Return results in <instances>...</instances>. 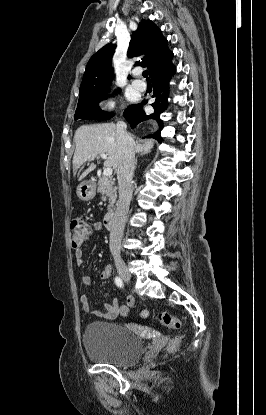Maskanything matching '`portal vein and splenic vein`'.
I'll use <instances>...</instances> for the list:
<instances>
[{"label":"portal vein and splenic vein","mask_w":266,"mask_h":415,"mask_svg":"<svg viewBox=\"0 0 266 415\" xmlns=\"http://www.w3.org/2000/svg\"><path fill=\"white\" fill-rule=\"evenodd\" d=\"M100 156H101L102 159H107V155L105 153H101ZM88 159H90V157H88ZM112 172H113V170H112L111 167H105L104 170H103V175L104 176H111Z\"/></svg>","instance_id":"obj_1"}]
</instances>
